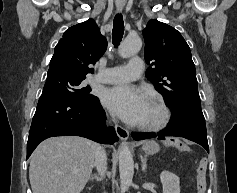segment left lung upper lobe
Segmentation results:
<instances>
[{"label": "left lung upper lobe", "instance_id": "1", "mask_svg": "<svg viewBox=\"0 0 237 193\" xmlns=\"http://www.w3.org/2000/svg\"><path fill=\"white\" fill-rule=\"evenodd\" d=\"M147 78L172 108L171 121L192 117L204 119L198 94L196 69L191 51L182 35L173 27L150 20L143 30Z\"/></svg>", "mask_w": 237, "mask_h": 193}]
</instances>
